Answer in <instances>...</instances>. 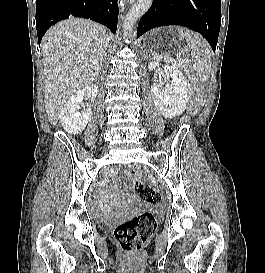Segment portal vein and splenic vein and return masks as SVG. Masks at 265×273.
I'll return each instance as SVG.
<instances>
[{
    "label": "portal vein and splenic vein",
    "mask_w": 265,
    "mask_h": 273,
    "mask_svg": "<svg viewBox=\"0 0 265 273\" xmlns=\"http://www.w3.org/2000/svg\"><path fill=\"white\" fill-rule=\"evenodd\" d=\"M168 61H170V62H173V61H175V59L174 58H172V57H169V56H166L165 57Z\"/></svg>",
    "instance_id": "18ae733b"
}]
</instances>
